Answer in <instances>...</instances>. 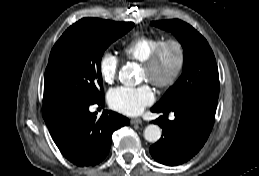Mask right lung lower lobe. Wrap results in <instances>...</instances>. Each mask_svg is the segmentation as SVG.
I'll return each instance as SVG.
<instances>
[{
	"mask_svg": "<svg viewBox=\"0 0 259 176\" xmlns=\"http://www.w3.org/2000/svg\"><path fill=\"white\" fill-rule=\"evenodd\" d=\"M94 101L53 98L43 101L42 114L55 144L70 162L78 166L100 163L108 154L112 133L128 125L129 120L115 112L104 111L100 118L89 111Z\"/></svg>",
	"mask_w": 259,
	"mask_h": 176,
	"instance_id": "1",
	"label": "right lung lower lobe"
}]
</instances>
